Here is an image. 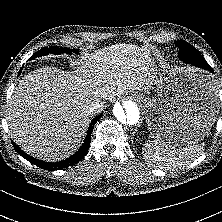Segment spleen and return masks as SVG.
I'll return each mask as SVG.
<instances>
[{
  "mask_svg": "<svg viewBox=\"0 0 222 222\" xmlns=\"http://www.w3.org/2000/svg\"><path fill=\"white\" fill-rule=\"evenodd\" d=\"M204 145L205 143L176 147L155 140L144 144L142 155L144 160L154 167L174 168L187 165L201 156Z\"/></svg>",
  "mask_w": 222,
  "mask_h": 222,
  "instance_id": "spleen-1",
  "label": "spleen"
}]
</instances>
